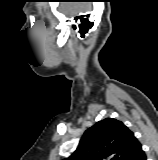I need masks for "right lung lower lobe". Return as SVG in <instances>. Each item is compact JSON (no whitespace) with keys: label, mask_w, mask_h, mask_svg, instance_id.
<instances>
[{"label":"right lung lower lobe","mask_w":158,"mask_h":160,"mask_svg":"<svg viewBox=\"0 0 158 160\" xmlns=\"http://www.w3.org/2000/svg\"><path fill=\"white\" fill-rule=\"evenodd\" d=\"M132 160H146V154L143 150H141L140 152H138L133 158Z\"/></svg>","instance_id":"right-lung-lower-lobe-1"}]
</instances>
